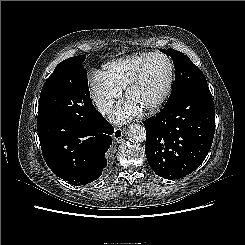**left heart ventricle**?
<instances>
[{
	"label": "left heart ventricle",
	"mask_w": 245,
	"mask_h": 245,
	"mask_svg": "<svg viewBox=\"0 0 245 245\" xmlns=\"http://www.w3.org/2000/svg\"><path fill=\"white\" fill-rule=\"evenodd\" d=\"M168 72V63L164 58H151L140 83L131 92L129 100L142 109L155 102L165 88Z\"/></svg>",
	"instance_id": "left-heart-ventricle-1"
}]
</instances>
